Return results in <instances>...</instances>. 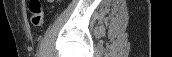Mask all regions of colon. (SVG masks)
Returning <instances> with one entry per match:
<instances>
[{
	"label": "colon",
	"instance_id": "colon-1",
	"mask_svg": "<svg viewBox=\"0 0 172 57\" xmlns=\"http://www.w3.org/2000/svg\"><path fill=\"white\" fill-rule=\"evenodd\" d=\"M30 20L34 26H40L44 21V11L39 0H31L30 7Z\"/></svg>",
	"mask_w": 172,
	"mask_h": 57
}]
</instances>
